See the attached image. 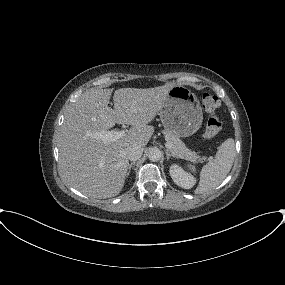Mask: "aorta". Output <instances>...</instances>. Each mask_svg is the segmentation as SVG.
<instances>
[{"mask_svg":"<svg viewBox=\"0 0 285 285\" xmlns=\"http://www.w3.org/2000/svg\"><path fill=\"white\" fill-rule=\"evenodd\" d=\"M162 153L158 148H151L148 152V158L152 162H157L161 159Z\"/></svg>","mask_w":285,"mask_h":285,"instance_id":"aorta-1","label":"aorta"}]
</instances>
